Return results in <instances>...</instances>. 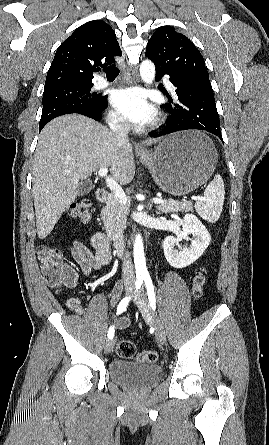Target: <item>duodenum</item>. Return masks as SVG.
<instances>
[{"label":"duodenum","mask_w":269,"mask_h":445,"mask_svg":"<svg viewBox=\"0 0 269 445\" xmlns=\"http://www.w3.org/2000/svg\"><path fill=\"white\" fill-rule=\"evenodd\" d=\"M96 198L98 201L104 202L108 198V192L105 189L100 188L96 191ZM113 246L119 256L124 257L126 255V244L124 241H116Z\"/></svg>","instance_id":"410a0bca"}]
</instances>
